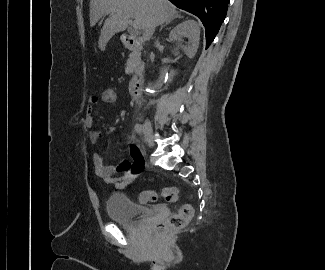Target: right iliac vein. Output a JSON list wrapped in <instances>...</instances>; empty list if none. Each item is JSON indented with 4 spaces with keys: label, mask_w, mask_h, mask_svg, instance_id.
<instances>
[{
    "label": "right iliac vein",
    "mask_w": 325,
    "mask_h": 270,
    "mask_svg": "<svg viewBox=\"0 0 325 270\" xmlns=\"http://www.w3.org/2000/svg\"><path fill=\"white\" fill-rule=\"evenodd\" d=\"M143 134L150 146H153V132L152 127L149 123H146L143 127Z\"/></svg>",
    "instance_id": "obj_1"
}]
</instances>
